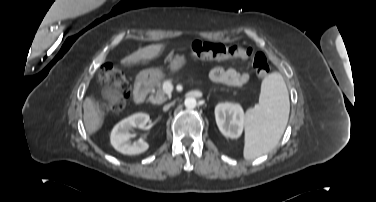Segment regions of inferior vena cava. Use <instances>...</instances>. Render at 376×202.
<instances>
[{"mask_svg":"<svg viewBox=\"0 0 376 202\" xmlns=\"http://www.w3.org/2000/svg\"><path fill=\"white\" fill-rule=\"evenodd\" d=\"M169 106H164V110H167Z\"/></svg>","mask_w":376,"mask_h":202,"instance_id":"602c4592","label":"inferior vena cava"}]
</instances>
